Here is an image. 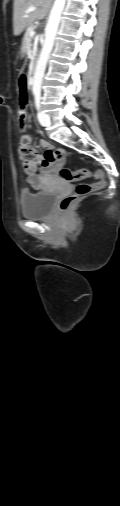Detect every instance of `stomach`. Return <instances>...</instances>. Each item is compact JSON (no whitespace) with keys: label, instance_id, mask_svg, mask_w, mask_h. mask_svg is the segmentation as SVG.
Wrapping results in <instances>:
<instances>
[{"label":"stomach","instance_id":"0dacf381","mask_svg":"<svg viewBox=\"0 0 120 506\" xmlns=\"http://www.w3.org/2000/svg\"><path fill=\"white\" fill-rule=\"evenodd\" d=\"M24 51H25V49L23 48V49H22V53H24Z\"/></svg>","mask_w":120,"mask_h":506}]
</instances>
